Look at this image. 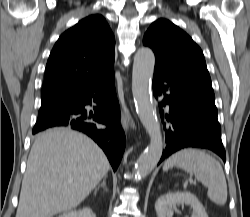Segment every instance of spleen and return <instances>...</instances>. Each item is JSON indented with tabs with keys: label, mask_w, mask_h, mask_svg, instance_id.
I'll return each mask as SVG.
<instances>
[{
	"label": "spleen",
	"mask_w": 250,
	"mask_h": 217,
	"mask_svg": "<svg viewBox=\"0 0 250 217\" xmlns=\"http://www.w3.org/2000/svg\"><path fill=\"white\" fill-rule=\"evenodd\" d=\"M193 173L195 178L207 188L208 198L219 206L227 201V183L221 164L210 154L199 149L187 148L170 156L164 163L163 170L172 167Z\"/></svg>",
	"instance_id": "obj_1"
}]
</instances>
